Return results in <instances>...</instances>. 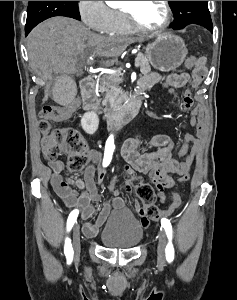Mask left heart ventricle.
<instances>
[{
  "mask_svg": "<svg viewBox=\"0 0 237 300\" xmlns=\"http://www.w3.org/2000/svg\"><path fill=\"white\" fill-rule=\"evenodd\" d=\"M123 7L132 9L138 22L149 28L159 27L165 19L163 1H123Z\"/></svg>",
  "mask_w": 237,
  "mask_h": 300,
  "instance_id": "left-heart-ventricle-1",
  "label": "left heart ventricle"
}]
</instances>
